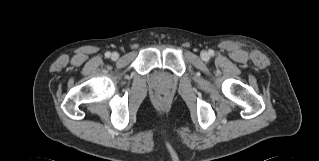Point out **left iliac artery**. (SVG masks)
Instances as JSON below:
<instances>
[{
	"label": "left iliac artery",
	"mask_w": 319,
	"mask_h": 161,
	"mask_svg": "<svg viewBox=\"0 0 319 161\" xmlns=\"http://www.w3.org/2000/svg\"><path fill=\"white\" fill-rule=\"evenodd\" d=\"M209 55L213 56L214 55V51L213 50H209Z\"/></svg>",
	"instance_id": "left-iliac-artery-1"
}]
</instances>
